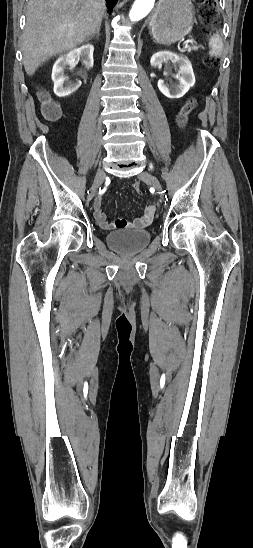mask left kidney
I'll use <instances>...</instances> for the list:
<instances>
[{
    "label": "left kidney",
    "instance_id": "5707ae66",
    "mask_svg": "<svg viewBox=\"0 0 253 548\" xmlns=\"http://www.w3.org/2000/svg\"><path fill=\"white\" fill-rule=\"evenodd\" d=\"M171 61L179 66L178 84H167L164 80L158 81V88L168 98H181L195 84V76L189 59L168 51L155 53L150 60L152 67H160L163 62Z\"/></svg>",
    "mask_w": 253,
    "mask_h": 548
}]
</instances>
